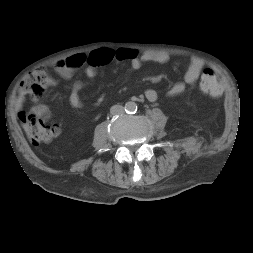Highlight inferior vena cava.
Instances as JSON below:
<instances>
[{
  "label": "inferior vena cava",
  "instance_id": "inferior-vena-cava-1",
  "mask_svg": "<svg viewBox=\"0 0 253 253\" xmlns=\"http://www.w3.org/2000/svg\"><path fill=\"white\" fill-rule=\"evenodd\" d=\"M124 112H125L124 107L121 105H114L110 109V113L112 115H121V114H124Z\"/></svg>",
  "mask_w": 253,
  "mask_h": 253
}]
</instances>
